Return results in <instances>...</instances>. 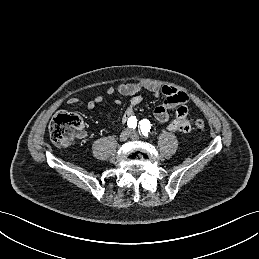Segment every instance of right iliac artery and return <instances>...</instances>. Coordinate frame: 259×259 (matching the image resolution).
<instances>
[{
	"label": "right iliac artery",
	"instance_id": "1",
	"mask_svg": "<svg viewBox=\"0 0 259 259\" xmlns=\"http://www.w3.org/2000/svg\"><path fill=\"white\" fill-rule=\"evenodd\" d=\"M127 125L129 128H133L135 129L137 126V119L136 116H131L128 121H127Z\"/></svg>",
	"mask_w": 259,
	"mask_h": 259
}]
</instances>
